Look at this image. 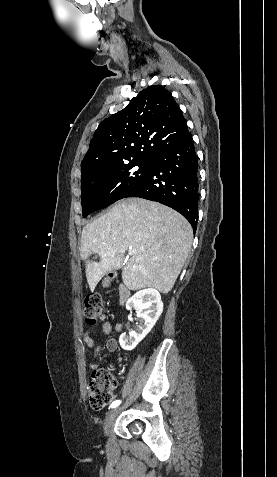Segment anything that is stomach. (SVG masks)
<instances>
[{
	"label": "stomach",
	"mask_w": 277,
	"mask_h": 477,
	"mask_svg": "<svg viewBox=\"0 0 277 477\" xmlns=\"http://www.w3.org/2000/svg\"><path fill=\"white\" fill-rule=\"evenodd\" d=\"M104 285H105V286L108 285V281H107V280L104 281Z\"/></svg>",
	"instance_id": "0dacf381"
}]
</instances>
